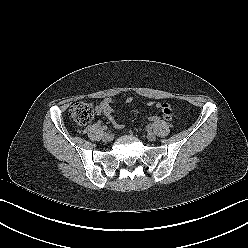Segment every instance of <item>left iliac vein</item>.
<instances>
[{
  "mask_svg": "<svg viewBox=\"0 0 248 248\" xmlns=\"http://www.w3.org/2000/svg\"><path fill=\"white\" fill-rule=\"evenodd\" d=\"M147 139H148L149 141H155V140H156V135H155L154 133H152V132H149V133L147 134Z\"/></svg>",
  "mask_w": 248,
  "mask_h": 248,
  "instance_id": "left-iliac-vein-1",
  "label": "left iliac vein"
}]
</instances>
